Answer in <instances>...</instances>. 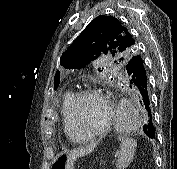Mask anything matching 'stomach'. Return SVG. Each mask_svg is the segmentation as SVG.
Instances as JSON below:
<instances>
[{
	"instance_id": "obj_1",
	"label": "stomach",
	"mask_w": 177,
	"mask_h": 169,
	"mask_svg": "<svg viewBox=\"0 0 177 169\" xmlns=\"http://www.w3.org/2000/svg\"><path fill=\"white\" fill-rule=\"evenodd\" d=\"M51 169H68L65 155H58L51 164Z\"/></svg>"
}]
</instances>
